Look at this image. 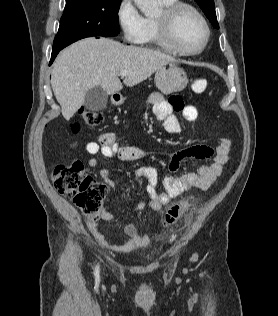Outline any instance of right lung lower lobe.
Instances as JSON below:
<instances>
[{
    "label": "right lung lower lobe",
    "mask_w": 278,
    "mask_h": 316,
    "mask_svg": "<svg viewBox=\"0 0 278 316\" xmlns=\"http://www.w3.org/2000/svg\"><path fill=\"white\" fill-rule=\"evenodd\" d=\"M61 49L58 50H52V55H51V60H50V65L51 63L54 61L55 57L57 56V54L59 53Z\"/></svg>",
    "instance_id": "obj_1"
}]
</instances>
